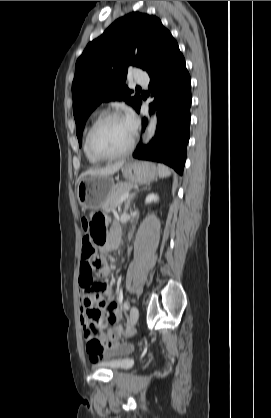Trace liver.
Masks as SVG:
<instances>
[{"mask_svg":"<svg viewBox=\"0 0 271 418\" xmlns=\"http://www.w3.org/2000/svg\"><path fill=\"white\" fill-rule=\"evenodd\" d=\"M123 165H124V161H120V162L108 165L104 168H91L89 170H86L80 175L78 183L82 178L86 176H90V175H101V176L109 177L115 174Z\"/></svg>","mask_w":271,"mask_h":418,"instance_id":"6515ba94","label":"liver"}]
</instances>
